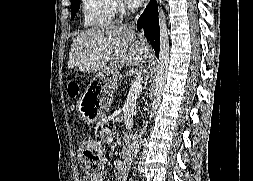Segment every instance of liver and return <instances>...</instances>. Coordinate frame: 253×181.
<instances>
[{
  "mask_svg": "<svg viewBox=\"0 0 253 181\" xmlns=\"http://www.w3.org/2000/svg\"><path fill=\"white\" fill-rule=\"evenodd\" d=\"M135 39V32L126 25L107 24L83 31L71 45L68 69L102 74L118 72L124 65L142 68L149 45Z\"/></svg>",
  "mask_w": 253,
  "mask_h": 181,
  "instance_id": "1",
  "label": "liver"
}]
</instances>
